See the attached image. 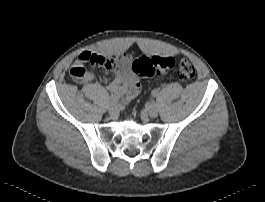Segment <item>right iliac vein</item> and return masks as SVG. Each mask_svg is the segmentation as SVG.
I'll use <instances>...</instances> for the list:
<instances>
[{
	"mask_svg": "<svg viewBox=\"0 0 265 202\" xmlns=\"http://www.w3.org/2000/svg\"><path fill=\"white\" fill-rule=\"evenodd\" d=\"M119 107L116 103L109 105L108 112L111 116H115L118 113Z\"/></svg>",
	"mask_w": 265,
	"mask_h": 202,
	"instance_id": "obj_1",
	"label": "right iliac vein"
}]
</instances>
